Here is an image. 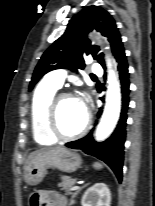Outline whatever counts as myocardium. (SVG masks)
<instances>
[{
	"mask_svg": "<svg viewBox=\"0 0 155 206\" xmlns=\"http://www.w3.org/2000/svg\"><path fill=\"white\" fill-rule=\"evenodd\" d=\"M65 98H75V96L70 92H61L55 94L49 102L46 111V127L48 132L56 139L60 140H72L79 138L87 133L91 125V115L86 111V118L83 126L80 130L72 134H64L58 127L57 123V109L59 102Z\"/></svg>",
	"mask_w": 155,
	"mask_h": 206,
	"instance_id": "myocardium-1",
	"label": "myocardium"
}]
</instances>
